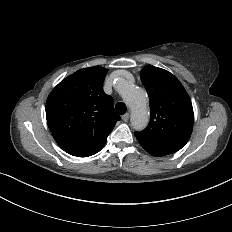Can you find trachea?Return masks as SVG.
<instances>
[{
    "instance_id": "trachea-1",
    "label": "trachea",
    "mask_w": 232,
    "mask_h": 232,
    "mask_svg": "<svg viewBox=\"0 0 232 232\" xmlns=\"http://www.w3.org/2000/svg\"><path fill=\"white\" fill-rule=\"evenodd\" d=\"M115 109H116L118 114L123 115L126 113L127 107L123 102H118L115 105Z\"/></svg>"
}]
</instances>
